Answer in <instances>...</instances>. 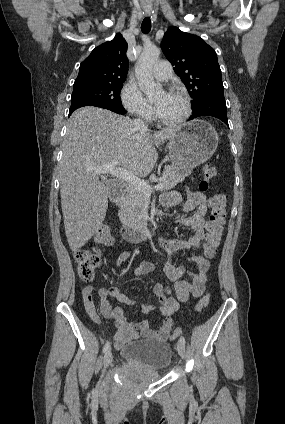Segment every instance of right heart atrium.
Segmentation results:
<instances>
[{
	"label": "right heart atrium",
	"mask_w": 285,
	"mask_h": 424,
	"mask_svg": "<svg viewBox=\"0 0 285 424\" xmlns=\"http://www.w3.org/2000/svg\"><path fill=\"white\" fill-rule=\"evenodd\" d=\"M120 99L128 113L136 118L149 120L152 117L153 107L134 81L129 80L124 84Z\"/></svg>",
	"instance_id": "d8ad5b80"
}]
</instances>
